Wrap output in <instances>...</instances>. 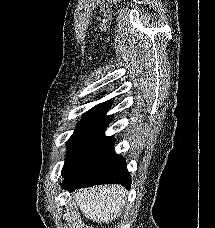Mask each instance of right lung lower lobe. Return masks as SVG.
<instances>
[{"mask_svg": "<svg viewBox=\"0 0 215 228\" xmlns=\"http://www.w3.org/2000/svg\"><path fill=\"white\" fill-rule=\"evenodd\" d=\"M130 178L124 158L115 153L113 141L66 176L62 188L73 191L95 184L113 183L130 189Z\"/></svg>", "mask_w": 215, "mask_h": 228, "instance_id": "1", "label": "right lung lower lobe"}]
</instances>
